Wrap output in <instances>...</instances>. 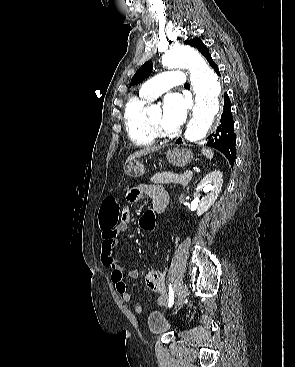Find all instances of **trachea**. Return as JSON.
Here are the masks:
<instances>
[{
    "label": "trachea",
    "instance_id": "obj_1",
    "mask_svg": "<svg viewBox=\"0 0 295 367\" xmlns=\"http://www.w3.org/2000/svg\"><path fill=\"white\" fill-rule=\"evenodd\" d=\"M184 86L185 87H189L190 85H189V83H185Z\"/></svg>",
    "mask_w": 295,
    "mask_h": 367
}]
</instances>
